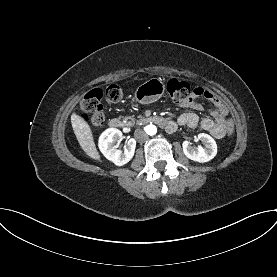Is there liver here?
<instances>
[{"mask_svg": "<svg viewBox=\"0 0 277 277\" xmlns=\"http://www.w3.org/2000/svg\"><path fill=\"white\" fill-rule=\"evenodd\" d=\"M72 128L83 151L94 160H101L90 126L76 113L71 116Z\"/></svg>", "mask_w": 277, "mask_h": 277, "instance_id": "6515ba94", "label": "liver"}]
</instances>
